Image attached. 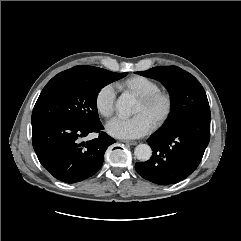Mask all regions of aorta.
Instances as JSON below:
<instances>
[{
  "label": "aorta",
  "instance_id": "762f6f07",
  "mask_svg": "<svg viewBox=\"0 0 241 241\" xmlns=\"http://www.w3.org/2000/svg\"><path fill=\"white\" fill-rule=\"evenodd\" d=\"M115 107L120 115L130 116L135 107V100L129 95H121ZM134 155L140 161H147L152 155V150L147 144H139L135 148Z\"/></svg>",
  "mask_w": 241,
  "mask_h": 241
}]
</instances>
